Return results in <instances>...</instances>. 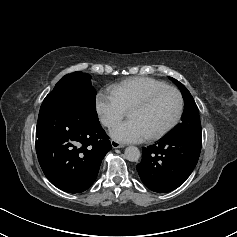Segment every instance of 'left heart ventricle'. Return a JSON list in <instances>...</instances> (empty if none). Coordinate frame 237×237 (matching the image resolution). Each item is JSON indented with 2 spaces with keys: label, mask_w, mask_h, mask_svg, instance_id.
Listing matches in <instances>:
<instances>
[{
  "label": "left heart ventricle",
  "mask_w": 237,
  "mask_h": 237,
  "mask_svg": "<svg viewBox=\"0 0 237 237\" xmlns=\"http://www.w3.org/2000/svg\"><path fill=\"white\" fill-rule=\"evenodd\" d=\"M178 108V98L172 91H165L144 108L129 110L130 119L137 120L150 136L164 128L175 116Z\"/></svg>",
  "instance_id": "left-heart-ventricle-1"
}]
</instances>
